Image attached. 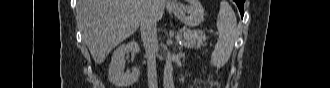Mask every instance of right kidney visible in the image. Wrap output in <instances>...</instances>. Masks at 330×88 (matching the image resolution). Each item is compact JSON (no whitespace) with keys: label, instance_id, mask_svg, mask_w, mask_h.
Returning a JSON list of instances; mask_svg holds the SVG:
<instances>
[{"label":"right kidney","instance_id":"right-kidney-1","mask_svg":"<svg viewBox=\"0 0 330 88\" xmlns=\"http://www.w3.org/2000/svg\"><path fill=\"white\" fill-rule=\"evenodd\" d=\"M140 52L139 45L136 41H130L127 44H122L114 51L111 63L109 65L108 79L119 88H127L134 84L139 76L140 70L134 68L131 73H124L125 55L136 54Z\"/></svg>","mask_w":330,"mask_h":88}]
</instances>
